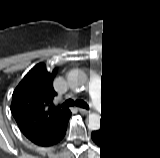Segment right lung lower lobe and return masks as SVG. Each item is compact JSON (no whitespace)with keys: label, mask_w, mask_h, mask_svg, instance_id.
<instances>
[{"label":"right lung lower lobe","mask_w":160,"mask_h":158,"mask_svg":"<svg viewBox=\"0 0 160 158\" xmlns=\"http://www.w3.org/2000/svg\"><path fill=\"white\" fill-rule=\"evenodd\" d=\"M70 116L71 114L66 116L64 121L56 127L29 140L39 146H51L60 142L65 137Z\"/></svg>","instance_id":"98d812e1"}]
</instances>
